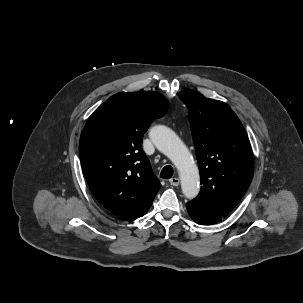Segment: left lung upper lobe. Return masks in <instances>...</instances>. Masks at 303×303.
<instances>
[{"instance_id":"obj_1","label":"left lung upper lobe","mask_w":303,"mask_h":303,"mask_svg":"<svg viewBox=\"0 0 303 303\" xmlns=\"http://www.w3.org/2000/svg\"><path fill=\"white\" fill-rule=\"evenodd\" d=\"M178 96L189 108L188 119L203 185L191 202L225 218L253 177L247 133L224 102L205 98L192 89L179 92Z\"/></svg>"}]
</instances>
